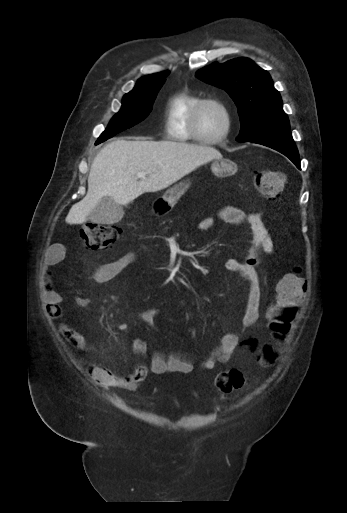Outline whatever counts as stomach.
Here are the masks:
<instances>
[{
	"mask_svg": "<svg viewBox=\"0 0 347 513\" xmlns=\"http://www.w3.org/2000/svg\"><path fill=\"white\" fill-rule=\"evenodd\" d=\"M237 169V165L229 160V159H219L215 160L211 164V171L214 175L218 177H226L235 172ZM190 187V182L182 181L172 188L168 189L161 198V201L168 207V209L164 208V210H156L157 213H164L173 208L176 201L183 195L187 189Z\"/></svg>",
	"mask_w": 347,
	"mask_h": 513,
	"instance_id": "0dacf381",
	"label": "stomach"
}]
</instances>
